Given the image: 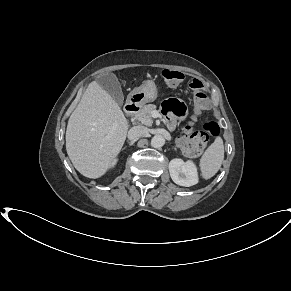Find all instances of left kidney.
I'll list each match as a JSON object with an SVG mask.
<instances>
[{
  "mask_svg": "<svg viewBox=\"0 0 291 291\" xmlns=\"http://www.w3.org/2000/svg\"><path fill=\"white\" fill-rule=\"evenodd\" d=\"M169 172L174 183L190 187L198 183L197 167L193 161L184 162L182 159H173L169 163Z\"/></svg>",
  "mask_w": 291,
  "mask_h": 291,
  "instance_id": "obj_1",
  "label": "left kidney"
}]
</instances>
